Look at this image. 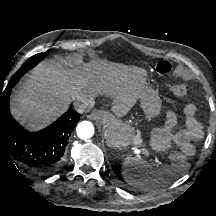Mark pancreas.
<instances>
[{
    "label": "pancreas",
    "instance_id": "obj_1",
    "mask_svg": "<svg viewBox=\"0 0 216 216\" xmlns=\"http://www.w3.org/2000/svg\"><path fill=\"white\" fill-rule=\"evenodd\" d=\"M141 142H142L141 137L138 135V136L135 138V143L141 144Z\"/></svg>",
    "mask_w": 216,
    "mask_h": 216
}]
</instances>
